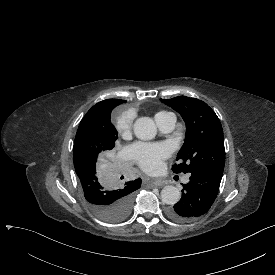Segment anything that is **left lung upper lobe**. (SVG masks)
<instances>
[{
    "instance_id": "5c2ea615",
    "label": "left lung upper lobe",
    "mask_w": 275,
    "mask_h": 275,
    "mask_svg": "<svg viewBox=\"0 0 275 275\" xmlns=\"http://www.w3.org/2000/svg\"><path fill=\"white\" fill-rule=\"evenodd\" d=\"M179 112L186 123V137L174 173H207L222 177L225 163L223 130L214 111L203 101L179 96L161 99Z\"/></svg>"
}]
</instances>
